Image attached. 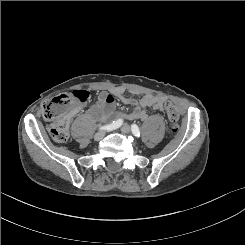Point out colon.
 Segmentation results:
<instances>
[{"mask_svg": "<svg viewBox=\"0 0 245 245\" xmlns=\"http://www.w3.org/2000/svg\"><path fill=\"white\" fill-rule=\"evenodd\" d=\"M90 93L85 90H76L47 100L42 107V116L49 123L48 132L52 139L63 143L69 138L71 116L79 105L86 103ZM166 115L171 122L170 136L179 128V111L171 102L165 104Z\"/></svg>", "mask_w": 245, "mask_h": 245, "instance_id": "colon-1", "label": "colon"}]
</instances>
